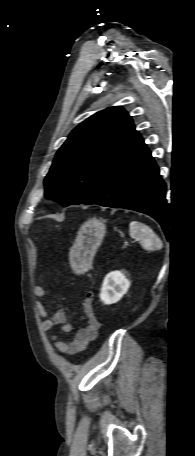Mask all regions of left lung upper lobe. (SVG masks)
<instances>
[{"label": "left lung upper lobe", "instance_id": "obj_1", "mask_svg": "<svg viewBox=\"0 0 195 456\" xmlns=\"http://www.w3.org/2000/svg\"><path fill=\"white\" fill-rule=\"evenodd\" d=\"M137 135L120 106L95 113L58 150L44 180L45 196L63 206L83 204L103 185Z\"/></svg>", "mask_w": 195, "mask_h": 456}]
</instances>
